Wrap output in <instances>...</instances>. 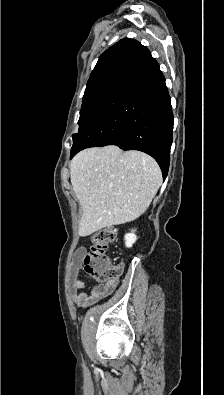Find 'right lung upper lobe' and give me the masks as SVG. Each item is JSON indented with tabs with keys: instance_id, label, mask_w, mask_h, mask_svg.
<instances>
[{
	"instance_id": "obj_1",
	"label": "right lung upper lobe",
	"mask_w": 224,
	"mask_h": 395,
	"mask_svg": "<svg viewBox=\"0 0 224 395\" xmlns=\"http://www.w3.org/2000/svg\"><path fill=\"white\" fill-rule=\"evenodd\" d=\"M142 45L130 38L115 43L101 54L88 81L94 80L106 73L121 70Z\"/></svg>"
}]
</instances>
